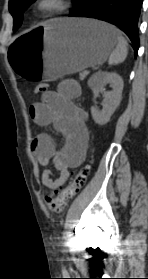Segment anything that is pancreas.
<instances>
[{"instance_id": "cf45deb5", "label": "pancreas", "mask_w": 148, "mask_h": 279, "mask_svg": "<svg viewBox=\"0 0 148 279\" xmlns=\"http://www.w3.org/2000/svg\"><path fill=\"white\" fill-rule=\"evenodd\" d=\"M85 78V75L82 73H80V80H83Z\"/></svg>"}]
</instances>
